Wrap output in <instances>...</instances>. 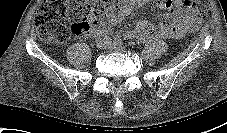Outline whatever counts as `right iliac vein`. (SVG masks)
<instances>
[{
  "label": "right iliac vein",
  "instance_id": "right-iliac-vein-1",
  "mask_svg": "<svg viewBox=\"0 0 227 133\" xmlns=\"http://www.w3.org/2000/svg\"><path fill=\"white\" fill-rule=\"evenodd\" d=\"M108 46H109V43L107 41H105L104 39H99L97 41V48L98 49L103 50V49L108 48Z\"/></svg>",
  "mask_w": 227,
  "mask_h": 133
}]
</instances>
